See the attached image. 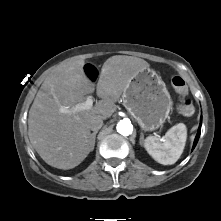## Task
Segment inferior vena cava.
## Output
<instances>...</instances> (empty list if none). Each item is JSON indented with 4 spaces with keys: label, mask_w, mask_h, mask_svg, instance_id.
Listing matches in <instances>:
<instances>
[{
    "label": "inferior vena cava",
    "mask_w": 221,
    "mask_h": 221,
    "mask_svg": "<svg viewBox=\"0 0 221 221\" xmlns=\"http://www.w3.org/2000/svg\"><path fill=\"white\" fill-rule=\"evenodd\" d=\"M103 126V120L95 119L90 122L89 129L93 132L98 131Z\"/></svg>",
    "instance_id": "602c4592"
}]
</instances>
